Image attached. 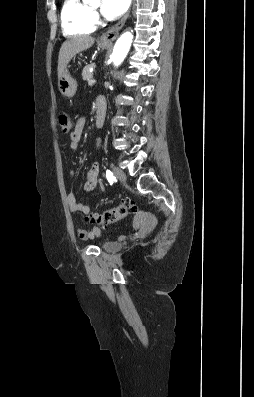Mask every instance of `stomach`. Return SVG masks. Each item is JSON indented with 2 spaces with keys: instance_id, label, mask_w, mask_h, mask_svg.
<instances>
[{
  "instance_id": "0dacf381",
  "label": "stomach",
  "mask_w": 254,
  "mask_h": 397,
  "mask_svg": "<svg viewBox=\"0 0 254 397\" xmlns=\"http://www.w3.org/2000/svg\"><path fill=\"white\" fill-rule=\"evenodd\" d=\"M99 47L102 49H106L110 46V43H98ZM58 88L61 94L65 97H73L77 90V82L71 76L69 70L67 68L64 69L61 76L58 78Z\"/></svg>"
}]
</instances>
